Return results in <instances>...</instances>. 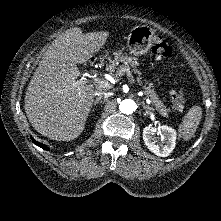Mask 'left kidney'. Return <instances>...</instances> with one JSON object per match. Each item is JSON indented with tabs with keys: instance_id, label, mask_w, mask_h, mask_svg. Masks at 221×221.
<instances>
[{
	"instance_id": "left-kidney-1",
	"label": "left kidney",
	"mask_w": 221,
	"mask_h": 221,
	"mask_svg": "<svg viewBox=\"0 0 221 221\" xmlns=\"http://www.w3.org/2000/svg\"><path fill=\"white\" fill-rule=\"evenodd\" d=\"M160 137V141L154 136ZM143 139L148 149L155 155L167 157L175 148L176 131L169 126L152 127L148 126L143 129Z\"/></svg>"
}]
</instances>
